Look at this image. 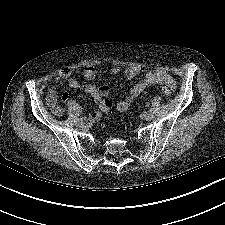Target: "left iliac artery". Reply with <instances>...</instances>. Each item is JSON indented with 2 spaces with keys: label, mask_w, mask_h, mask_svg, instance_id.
Returning <instances> with one entry per match:
<instances>
[{
  "label": "left iliac artery",
  "mask_w": 225,
  "mask_h": 225,
  "mask_svg": "<svg viewBox=\"0 0 225 225\" xmlns=\"http://www.w3.org/2000/svg\"><path fill=\"white\" fill-rule=\"evenodd\" d=\"M149 112L152 111V108L148 110Z\"/></svg>",
  "instance_id": "left-iliac-artery-1"
}]
</instances>
